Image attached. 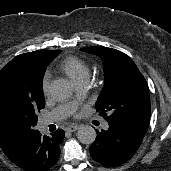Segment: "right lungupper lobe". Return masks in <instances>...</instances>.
<instances>
[{"mask_svg":"<svg viewBox=\"0 0 171 171\" xmlns=\"http://www.w3.org/2000/svg\"><path fill=\"white\" fill-rule=\"evenodd\" d=\"M60 52V50H38L30 53H24L22 55L27 58L28 61L44 63L52 61L56 56L60 54ZM1 148L10 160H12L14 156L19 152H13L2 146Z\"/></svg>","mask_w":171,"mask_h":171,"instance_id":"1","label":"right lung upper lobe"}]
</instances>
